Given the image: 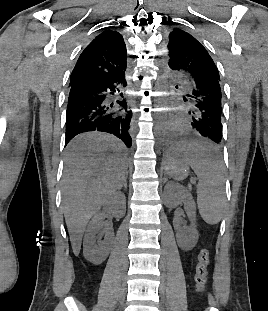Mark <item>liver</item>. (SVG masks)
<instances>
[{"label":"liver","mask_w":268,"mask_h":311,"mask_svg":"<svg viewBox=\"0 0 268 311\" xmlns=\"http://www.w3.org/2000/svg\"><path fill=\"white\" fill-rule=\"evenodd\" d=\"M128 169L124 144L102 133L77 136L67 147L62 180L63 212L73 252L79 255L90 218L119 189Z\"/></svg>","instance_id":"6515ba94"}]
</instances>
